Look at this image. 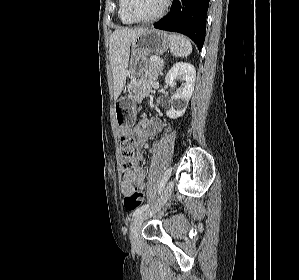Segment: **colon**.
I'll use <instances>...</instances> for the list:
<instances>
[{"label": "colon", "mask_w": 299, "mask_h": 280, "mask_svg": "<svg viewBox=\"0 0 299 280\" xmlns=\"http://www.w3.org/2000/svg\"><path fill=\"white\" fill-rule=\"evenodd\" d=\"M147 121L143 120L140 125H133L129 135H125L121 138L120 152L123 159V171H128L136 166L134 159L135 147L137 144L138 136H142L145 133L144 126ZM143 201V195L140 191L135 189L130 195L124 198V207L128 211H134L137 209Z\"/></svg>", "instance_id": "1"}]
</instances>
